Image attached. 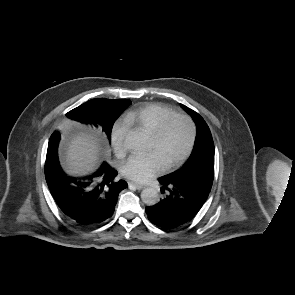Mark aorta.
Returning a JSON list of instances; mask_svg holds the SVG:
<instances>
[{"label": "aorta", "instance_id": "aorta-1", "mask_svg": "<svg viewBox=\"0 0 295 295\" xmlns=\"http://www.w3.org/2000/svg\"><path fill=\"white\" fill-rule=\"evenodd\" d=\"M125 146L132 150H142L146 146V139L137 132L130 133L125 139ZM141 200L148 206L159 202L158 191L155 188H145L141 192Z\"/></svg>", "mask_w": 295, "mask_h": 295}]
</instances>
